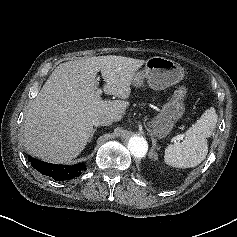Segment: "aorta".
Here are the masks:
<instances>
[{"instance_id": "aorta-1", "label": "aorta", "mask_w": 237, "mask_h": 237, "mask_svg": "<svg viewBox=\"0 0 237 237\" xmlns=\"http://www.w3.org/2000/svg\"><path fill=\"white\" fill-rule=\"evenodd\" d=\"M128 149L133 156L143 157L148 150V144L143 137L133 136L128 141Z\"/></svg>"}]
</instances>
